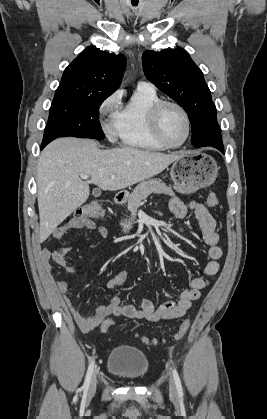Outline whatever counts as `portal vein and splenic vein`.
I'll return each instance as SVG.
<instances>
[{"instance_id": "1", "label": "portal vein and splenic vein", "mask_w": 267, "mask_h": 419, "mask_svg": "<svg viewBox=\"0 0 267 419\" xmlns=\"http://www.w3.org/2000/svg\"><path fill=\"white\" fill-rule=\"evenodd\" d=\"M80 177L84 180L88 179L89 176L88 175H80ZM111 178H115V175H111Z\"/></svg>"}]
</instances>
